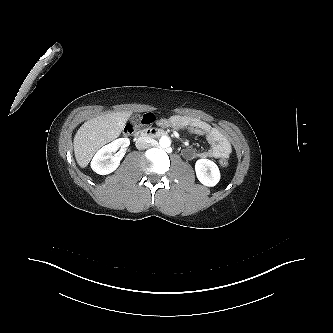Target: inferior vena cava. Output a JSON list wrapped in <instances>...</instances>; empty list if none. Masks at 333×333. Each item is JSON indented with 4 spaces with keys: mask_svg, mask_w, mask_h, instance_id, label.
<instances>
[{
    "mask_svg": "<svg viewBox=\"0 0 333 333\" xmlns=\"http://www.w3.org/2000/svg\"><path fill=\"white\" fill-rule=\"evenodd\" d=\"M150 146V138L146 136L139 137L136 140V147L139 150L146 149Z\"/></svg>",
    "mask_w": 333,
    "mask_h": 333,
    "instance_id": "1",
    "label": "inferior vena cava"
}]
</instances>
